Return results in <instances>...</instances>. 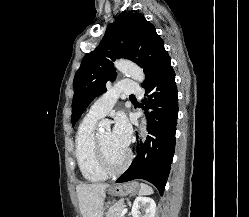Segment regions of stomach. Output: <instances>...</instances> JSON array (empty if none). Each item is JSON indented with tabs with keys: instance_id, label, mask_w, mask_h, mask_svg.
<instances>
[{
	"instance_id": "1",
	"label": "stomach",
	"mask_w": 249,
	"mask_h": 217,
	"mask_svg": "<svg viewBox=\"0 0 249 217\" xmlns=\"http://www.w3.org/2000/svg\"><path fill=\"white\" fill-rule=\"evenodd\" d=\"M139 191V184L136 181L114 185L108 189V193L115 197H125L136 194Z\"/></svg>"
}]
</instances>
